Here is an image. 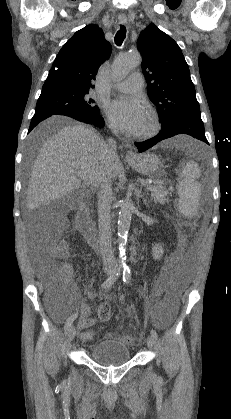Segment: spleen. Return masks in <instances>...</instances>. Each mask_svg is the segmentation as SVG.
Listing matches in <instances>:
<instances>
[{"instance_id": "spleen-1", "label": "spleen", "mask_w": 231, "mask_h": 419, "mask_svg": "<svg viewBox=\"0 0 231 419\" xmlns=\"http://www.w3.org/2000/svg\"><path fill=\"white\" fill-rule=\"evenodd\" d=\"M180 177L178 185L179 210L184 216L193 217L197 214L201 195V185L197 181L200 177L198 165L194 161L187 162Z\"/></svg>"}]
</instances>
